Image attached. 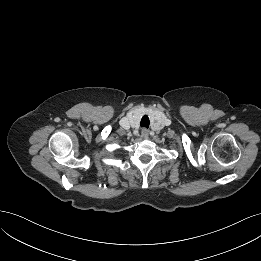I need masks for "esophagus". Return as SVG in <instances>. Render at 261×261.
I'll return each instance as SVG.
<instances>
[{"label":"esophagus","instance_id":"1","mask_svg":"<svg viewBox=\"0 0 261 261\" xmlns=\"http://www.w3.org/2000/svg\"><path fill=\"white\" fill-rule=\"evenodd\" d=\"M141 135L143 138H148L149 137V130L146 129V128H143L142 131H141Z\"/></svg>","mask_w":261,"mask_h":261}]
</instances>
